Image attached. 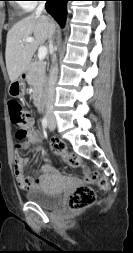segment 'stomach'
Masks as SVG:
<instances>
[{
	"mask_svg": "<svg viewBox=\"0 0 133 253\" xmlns=\"http://www.w3.org/2000/svg\"><path fill=\"white\" fill-rule=\"evenodd\" d=\"M25 80L24 78H18L17 80L11 82L8 92L12 97H22L25 94Z\"/></svg>",
	"mask_w": 133,
	"mask_h": 253,
	"instance_id": "1",
	"label": "stomach"
}]
</instances>
